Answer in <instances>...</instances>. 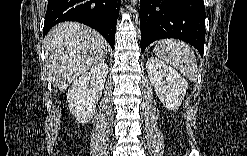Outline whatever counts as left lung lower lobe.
<instances>
[{
	"instance_id": "0a47b994",
	"label": "left lung lower lobe",
	"mask_w": 247,
	"mask_h": 156,
	"mask_svg": "<svg viewBox=\"0 0 247 156\" xmlns=\"http://www.w3.org/2000/svg\"><path fill=\"white\" fill-rule=\"evenodd\" d=\"M141 52L152 42L176 38L193 45L203 56V0H140Z\"/></svg>"
}]
</instances>
